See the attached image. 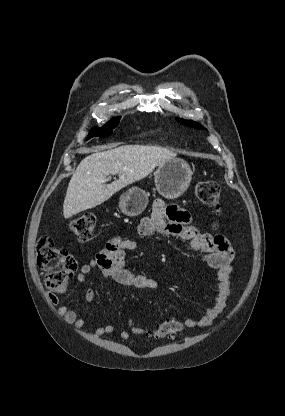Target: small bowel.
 I'll use <instances>...</instances> for the list:
<instances>
[{"label":"small bowel","mask_w":285,"mask_h":416,"mask_svg":"<svg viewBox=\"0 0 285 416\" xmlns=\"http://www.w3.org/2000/svg\"><path fill=\"white\" fill-rule=\"evenodd\" d=\"M138 232L143 237L161 234L189 241L193 250L204 253V262L209 267L218 270V293L214 297L212 305L201 317L188 318L185 321V326L189 328H204L212 325L224 311L227 298L230 295V275L234 250L229 240L222 234L211 235L200 231L192 225L191 215L188 211L177 206L167 205L161 199L154 201L151 216L142 220ZM138 248L139 245L134 240L120 237L110 238L93 259L81 266L77 275L78 283H85L92 270L99 269L104 278L111 279L122 286L145 291L155 289L157 282L153 278L134 274L126 266L125 251H135ZM94 298V289L87 288L83 297L84 301L91 302ZM47 299L53 305L60 303L58 296L54 293H48ZM57 314L78 331H83L85 320L79 317L73 308L61 305L57 308ZM113 331L114 326L107 324L98 326L92 334L101 337ZM149 332L152 330L130 326L120 332V338L128 340L132 334H147Z\"/></svg>","instance_id":"1"}]
</instances>
